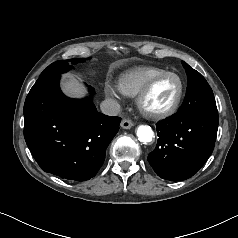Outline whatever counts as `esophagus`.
I'll use <instances>...</instances> for the list:
<instances>
[{
	"label": "esophagus",
	"mask_w": 238,
	"mask_h": 238,
	"mask_svg": "<svg viewBox=\"0 0 238 238\" xmlns=\"http://www.w3.org/2000/svg\"><path fill=\"white\" fill-rule=\"evenodd\" d=\"M133 125H134V123L129 119H123L121 121V127L124 129H130L133 127Z\"/></svg>",
	"instance_id": "obj_1"
}]
</instances>
